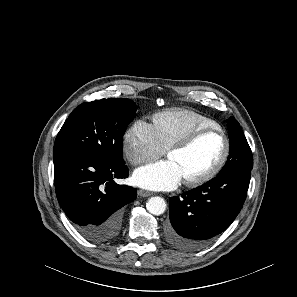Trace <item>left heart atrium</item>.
Instances as JSON below:
<instances>
[{"instance_id":"39dd6f15","label":"left heart atrium","mask_w":297,"mask_h":297,"mask_svg":"<svg viewBox=\"0 0 297 297\" xmlns=\"http://www.w3.org/2000/svg\"><path fill=\"white\" fill-rule=\"evenodd\" d=\"M184 180L181 167L173 160H163L137 169L134 184L150 190H172Z\"/></svg>"}]
</instances>
